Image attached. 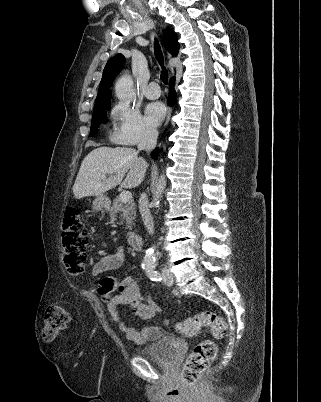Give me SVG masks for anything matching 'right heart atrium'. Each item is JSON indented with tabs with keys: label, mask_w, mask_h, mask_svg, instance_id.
I'll return each mask as SVG.
<instances>
[{
	"label": "right heart atrium",
	"mask_w": 321,
	"mask_h": 402,
	"mask_svg": "<svg viewBox=\"0 0 321 402\" xmlns=\"http://www.w3.org/2000/svg\"><path fill=\"white\" fill-rule=\"evenodd\" d=\"M113 122L112 139L120 144L135 146L150 143L156 131L140 114L139 110L126 102H119L111 109Z\"/></svg>",
	"instance_id": "right-heart-atrium-1"
}]
</instances>
